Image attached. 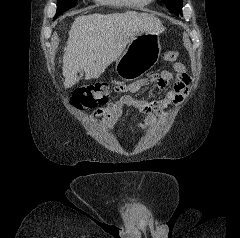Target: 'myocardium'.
Returning <instances> with one entry per match:
<instances>
[{"mask_svg": "<svg viewBox=\"0 0 240 238\" xmlns=\"http://www.w3.org/2000/svg\"><path fill=\"white\" fill-rule=\"evenodd\" d=\"M135 0H125V2L130 5V6H133L135 4L134 2ZM143 1V4H149L151 2H153L154 0H142Z\"/></svg>", "mask_w": 240, "mask_h": 238, "instance_id": "f54148a6", "label": "myocardium"}]
</instances>
